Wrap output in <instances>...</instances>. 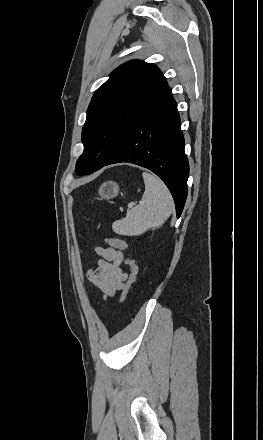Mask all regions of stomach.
I'll use <instances>...</instances> for the list:
<instances>
[{"label": "stomach", "mask_w": 263, "mask_h": 440, "mask_svg": "<svg viewBox=\"0 0 263 440\" xmlns=\"http://www.w3.org/2000/svg\"><path fill=\"white\" fill-rule=\"evenodd\" d=\"M98 192L102 199L114 198L119 193V186L116 182L107 181L99 187Z\"/></svg>", "instance_id": "0dacf381"}]
</instances>
